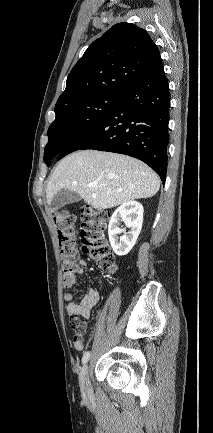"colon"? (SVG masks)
<instances>
[{
  "label": "colon",
  "instance_id": "1",
  "mask_svg": "<svg viewBox=\"0 0 213 433\" xmlns=\"http://www.w3.org/2000/svg\"><path fill=\"white\" fill-rule=\"evenodd\" d=\"M53 219L59 238L63 285L69 288L74 284V271L77 264L76 218L70 211L60 210L54 213ZM108 220L109 215L104 210L86 208L83 212L80 236L83 251L101 269L114 271L116 269L115 257L107 241ZM70 324L75 330L76 335L80 336L83 331V323L80 319L78 317H71Z\"/></svg>",
  "mask_w": 213,
  "mask_h": 433
}]
</instances>
